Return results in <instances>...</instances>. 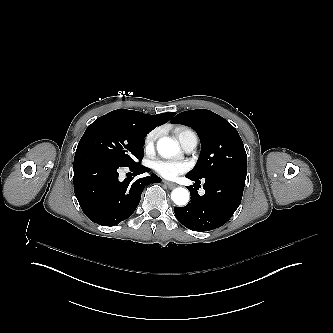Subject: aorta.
Segmentation results:
<instances>
[{
	"label": "aorta",
	"instance_id": "obj_1",
	"mask_svg": "<svg viewBox=\"0 0 333 333\" xmlns=\"http://www.w3.org/2000/svg\"><path fill=\"white\" fill-rule=\"evenodd\" d=\"M157 151L163 158H171L180 152L177 141L169 138H160L157 142ZM172 201L178 206H184L189 201V191L186 188H175L171 193Z\"/></svg>",
	"mask_w": 333,
	"mask_h": 333
}]
</instances>
